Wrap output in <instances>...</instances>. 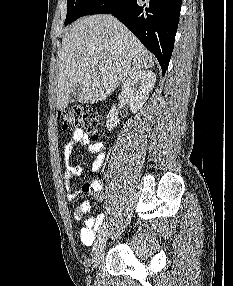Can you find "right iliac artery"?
Segmentation results:
<instances>
[{"instance_id": "82829eb1", "label": "right iliac artery", "mask_w": 233, "mask_h": 286, "mask_svg": "<svg viewBox=\"0 0 233 286\" xmlns=\"http://www.w3.org/2000/svg\"><path fill=\"white\" fill-rule=\"evenodd\" d=\"M106 227H107V224L105 223V224H103V225L99 228V230H98V236H100V235L104 232V230L106 229Z\"/></svg>"}]
</instances>
